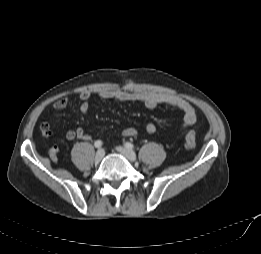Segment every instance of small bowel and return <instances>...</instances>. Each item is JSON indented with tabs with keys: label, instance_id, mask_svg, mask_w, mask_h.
Masks as SVG:
<instances>
[{
	"label": "small bowel",
	"instance_id": "1",
	"mask_svg": "<svg viewBox=\"0 0 261 254\" xmlns=\"http://www.w3.org/2000/svg\"><path fill=\"white\" fill-rule=\"evenodd\" d=\"M99 97L105 100H113L115 102H134L142 103L147 108L153 109L158 106H166L172 109L180 110L183 113V125L182 128L186 129L192 126L197 119L195 109L193 106L185 99L164 92H129L124 90H103L99 92ZM81 104L79 111L83 115H87L89 112L91 94L87 91L81 92L79 95ZM70 103L68 98H60L53 102L52 107L55 110H62L66 108ZM42 134L46 137L52 135L50 124L48 122H43L40 126ZM146 132L152 134L156 131V125L154 123H147L145 126ZM45 131H49L46 135ZM138 131L135 128L129 127L125 128L121 132L122 137H135ZM65 137L68 140L81 139L84 141H90L91 136L86 133L82 128L70 129L66 132ZM57 153V147H52L50 149L51 157H55Z\"/></svg>",
	"mask_w": 261,
	"mask_h": 254
}]
</instances>
